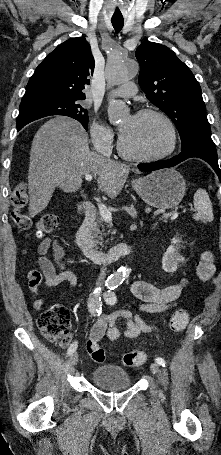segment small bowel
Wrapping results in <instances>:
<instances>
[{
    "label": "small bowel",
    "mask_w": 221,
    "mask_h": 455,
    "mask_svg": "<svg viewBox=\"0 0 221 455\" xmlns=\"http://www.w3.org/2000/svg\"><path fill=\"white\" fill-rule=\"evenodd\" d=\"M50 250L53 252V260L47 257ZM38 252V266L44 278L42 279L39 271H33L28 276V288L35 300V308H41L43 305V298L39 291L40 286L52 288L65 282L72 288L78 283L75 272L65 268L64 249L61 245L51 239H46L39 245ZM185 285V280L165 287H158L149 282L137 280L131 285V293L141 301V313H159L176 306ZM118 319H123L126 323L124 332L126 338H136L142 334H148L152 330L140 313L133 314L126 309H119L110 314L103 313L92 326L90 338L97 342L103 337L110 341L117 340L121 336L117 327Z\"/></svg>",
    "instance_id": "obj_1"
}]
</instances>
